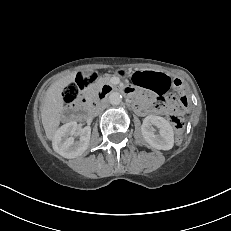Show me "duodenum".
<instances>
[{"mask_svg": "<svg viewBox=\"0 0 231 231\" xmlns=\"http://www.w3.org/2000/svg\"><path fill=\"white\" fill-rule=\"evenodd\" d=\"M114 90L115 87L111 85H103L100 92L94 97L95 104H98L105 96H107L109 93H111ZM124 93L127 95H131V92L128 89H125ZM138 106H141V104H139ZM72 117L78 118L79 115L77 112H72Z\"/></svg>", "mask_w": 231, "mask_h": 231, "instance_id": "obj_1", "label": "duodenum"}]
</instances>
